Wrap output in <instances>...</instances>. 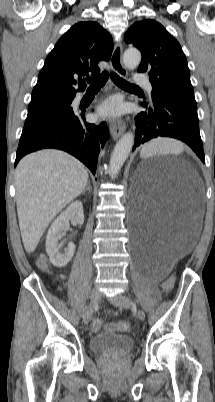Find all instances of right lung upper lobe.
Instances as JSON below:
<instances>
[{
  "instance_id": "right-lung-upper-lobe-1",
  "label": "right lung upper lobe",
  "mask_w": 215,
  "mask_h": 402,
  "mask_svg": "<svg viewBox=\"0 0 215 402\" xmlns=\"http://www.w3.org/2000/svg\"><path fill=\"white\" fill-rule=\"evenodd\" d=\"M112 51V37L97 22L73 25L47 56L31 101L53 97L74 99L76 92L86 87L82 77L90 72L99 73L98 62L108 61Z\"/></svg>"
}]
</instances>
